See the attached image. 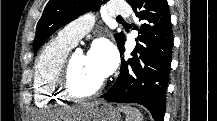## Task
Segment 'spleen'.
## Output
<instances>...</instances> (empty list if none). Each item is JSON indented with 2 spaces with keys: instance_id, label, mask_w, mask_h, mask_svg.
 <instances>
[{
  "instance_id": "spleen-1",
  "label": "spleen",
  "mask_w": 217,
  "mask_h": 121,
  "mask_svg": "<svg viewBox=\"0 0 217 121\" xmlns=\"http://www.w3.org/2000/svg\"><path fill=\"white\" fill-rule=\"evenodd\" d=\"M118 108L126 114V121H143V116L138 109L123 105Z\"/></svg>"
}]
</instances>
